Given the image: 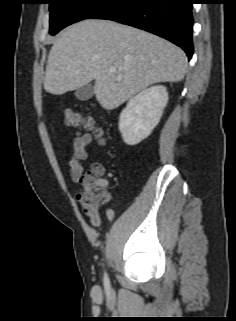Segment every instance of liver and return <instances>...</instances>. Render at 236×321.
Returning a JSON list of instances; mask_svg holds the SVG:
<instances>
[{"mask_svg": "<svg viewBox=\"0 0 236 321\" xmlns=\"http://www.w3.org/2000/svg\"><path fill=\"white\" fill-rule=\"evenodd\" d=\"M186 70V55L173 43L114 21L87 19L54 42L44 89L62 95L94 80L97 101L112 110L154 83L181 81Z\"/></svg>", "mask_w": 236, "mask_h": 321, "instance_id": "obj_1", "label": "liver"}]
</instances>
